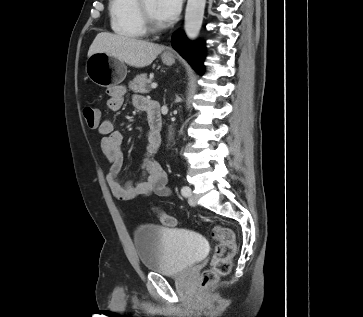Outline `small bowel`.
Wrapping results in <instances>:
<instances>
[{"label":"small bowel","instance_id":"small-bowel-1","mask_svg":"<svg viewBox=\"0 0 363 317\" xmlns=\"http://www.w3.org/2000/svg\"><path fill=\"white\" fill-rule=\"evenodd\" d=\"M125 88L116 86L109 90L107 106L111 111H118L124 102ZM148 100L142 96H135L133 104L137 109L145 110ZM98 132L102 135L100 150L110 165L106 174L107 183L113 195L121 200L127 201L137 197H145L151 194L158 196H169L171 191L167 184V175L162 167L153 158L156 147L149 144L145 156L141 163L142 177L137 181L128 179L122 181L120 177L123 153L122 145L124 135L115 129L111 119L102 120L98 127Z\"/></svg>","mask_w":363,"mask_h":317}]
</instances>
